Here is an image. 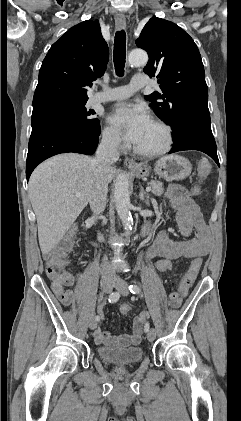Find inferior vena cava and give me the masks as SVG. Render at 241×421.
Instances as JSON below:
<instances>
[{"mask_svg":"<svg viewBox=\"0 0 241 421\" xmlns=\"http://www.w3.org/2000/svg\"><path fill=\"white\" fill-rule=\"evenodd\" d=\"M119 159L118 139L115 136H105L98 146L96 157L93 160L95 166V182L90 196V208L93 217L99 216L105 209L108 192V182L106 173L112 164ZM102 277L112 278L113 273L107 266V258H103Z\"/></svg>","mask_w":241,"mask_h":421,"instance_id":"602c4592","label":"inferior vena cava"}]
</instances>
